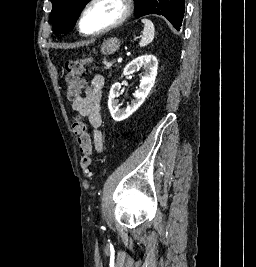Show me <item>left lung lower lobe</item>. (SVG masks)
I'll return each instance as SVG.
<instances>
[{
  "label": "left lung lower lobe",
  "instance_id": "left-lung-lower-lobe-1",
  "mask_svg": "<svg viewBox=\"0 0 256 267\" xmlns=\"http://www.w3.org/2000/svg\"><path fill=\"white\" fill-rule=\"evenodd\" d=\"M184 9H185L184 0H175V19L172 25L177 30H180V26L182 25V20L184 17Z\"/></svg>",
  "mask_w": 256,
  "mask_h": 267
}]
</instances>
